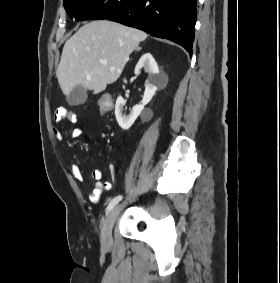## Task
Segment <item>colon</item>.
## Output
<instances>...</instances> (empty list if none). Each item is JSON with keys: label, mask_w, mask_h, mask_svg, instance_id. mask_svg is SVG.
Returning a JSON list of instances; mask_svg holds the SVG:
<instances>
[{"label": "colon", "mask_w": 280, "mask_h": 283, "mask_svg": "<svg viewBox=\"0 0 280 283\" xmlns=\"http://www.w3.org/2000/svg\"><path fill=\"white\" fill-rule=\"evenodd\" d=\"M111 104H112V98L111 97H108V96L103 97L99 102L100 107H98V112H112V107H108ZM100 118L104 119L105 115L101 114Z\"/></svg>", "instance_id": "5ec220e1"}]
</instances>
